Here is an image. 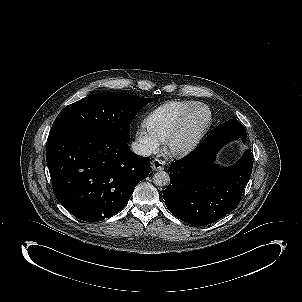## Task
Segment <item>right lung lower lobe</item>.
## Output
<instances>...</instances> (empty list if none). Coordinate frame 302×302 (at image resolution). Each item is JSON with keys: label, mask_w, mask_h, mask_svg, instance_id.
Instances as JSON below:
<instances>
[{"label": "right lung lower lobe", "mask_w": 302, "mask_h": 302, "mask_svg": "<svg viewBox=\"0 0 302 302\" xmlns=\"http://www.w3.org/2000/svg\"><path fill=\"white\" fill-rule=\"evenodd\" d=\"M125 142L83 129L49 137L46 160L58 201L74 216L98 222L119 212L150 172V159Z\"/></svg>", "instance_id": "1"}]
</instances>
